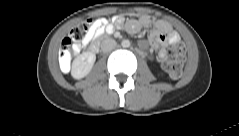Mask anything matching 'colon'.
I'll list each match as a JSON object with an SVG mask.
<instances>
[{
  "mask_svg": "<svg viewBox=\"0 0 239 136\" xmlns=\"http://www.w3.org/2000/svg\"><path fill=\"white\" fill-rule=\"evenodd\" d=\"M96 20L88 19L75 26L69 33V36L63 39L59 48V64L62 69H68L70 61L79 43H81L90 33ZM186 58L185 46L181 43L173 44L169 50L164 69L173 77L178 78L183 71V65Z\"/></svg>",
  "mask_w": 239,
  "mask_h": 136,
  "instance_id": "5ec220e1",
  "label": "colon"
}]
</instances>
